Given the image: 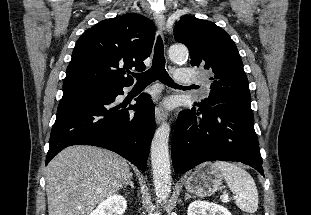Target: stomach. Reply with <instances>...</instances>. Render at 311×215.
Segmentation results:
<instances>
[{
  "label": "stomach",
  "mask_w": 311,
  "mask_h": 215,
  "mask_svg": "<svg viewBox=\"0 0 311 215\" xmlns=\"http://www.w3.org/2000/svg\"><path fill=\"white\" fill-rule=\"evenodd\" d=\"M223 177L211 163L198 166L185 181L188 192L199 197L213 195L221 186Z\"/></svg>",
  "instance_id": "obj_1"
}]
</instances>
